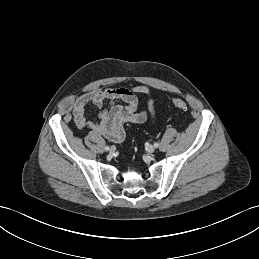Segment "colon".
Wrapping results in <instances>:
<instances>
[{
	"label": "colon",
	"mask_w": 259,
	"mask_h": 259,
	"mask_svg": "<svg viewBox=\"0 0 259 259\" xmlns=\"http://www.w3.org/2000/svg\"><path fill=\"white\" fill-rule=\"evenodd\" d=\"M173 105L179 110H186L187 104L184 100L176 98L173 100Z\"/></svg>",
	"instance_id": "1"
}]
</instances>
